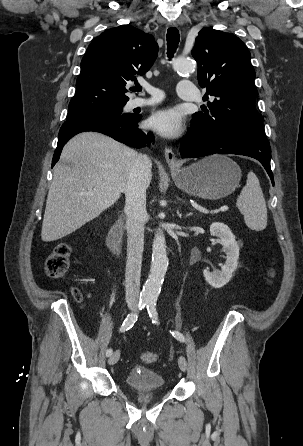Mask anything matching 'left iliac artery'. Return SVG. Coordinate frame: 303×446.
<instances>
[{
  "label": "left iliac artery",
  "mask_w": 303,
  "mask_h": 446,
  "mask_svg": "<svg viewBox=\"0 0 303 446\" xmlns=\"http://www.w3.org/2000/svg\"><path fill=\"white\" fill-rule=\"evenodd\" d=\"M147 311H148L150 318L152 319V323L157 324L158 323V313L156 310V300L155 299L148 300ZM171 334L180 342H185V338H184L183 334H181L180 332L172 331Z\"/></svg>",
  "instance_id": "44dca946"
}]
</instances>
